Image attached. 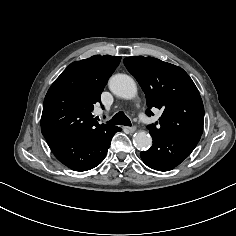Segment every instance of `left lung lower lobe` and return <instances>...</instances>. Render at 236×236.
Here are the masks:
<instances>
[{
	"label": "left lung lower lobe",
	"mask_w": 236,
	"mask_h": 236,
	"mask_svg": "<svg viewBox=\"0 0 236 236\" xmlns=\"http://www.w3.org/2000/svg\"><path fill=\"white\" fill-rule=\"evenodd\" d=\"M150 134L153 145L140 156L148 167L158 171H169L179 165L191 154L201 137L191 133Z\"/></svg>",
	"instance_id": "0a47b994"
}]
</instances>
